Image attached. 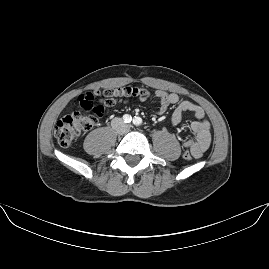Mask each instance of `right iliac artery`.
Returning a JSON list of instances; mask_svg holds the SVG:
<instances>
[{
    "instance_id": "1",
    "label": "right iliac artery",
    "mask_w": 269,
    "mask_h": 269,
    "mask_svg": "<svg viewBox=\"0 0 269 269\" xmlns=\"http://www.w3.org/2000/svg\"><path fill=\"white\" fill-rule=\"evenodd\" d=\"M123 119H124L125 123H130L132 120V117L130 115L126 114L123 116Z\"/></svg>"
}]
</instances>
